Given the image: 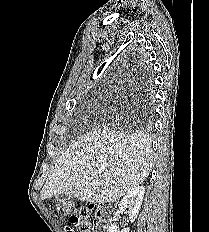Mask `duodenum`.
Returning <instances> with one entry per match:
<instances>
[{"instance_id":"duodenum-1","label":"duodenum","mask_w":209,"mask_h":232,"mask_svg":"<svg viewBox=\"0 0 209 232\" xmlns=\"http://www.w3.org/2000/svg\"><path fill=\"white\" fill-rule=\"evenodd\" d=\"M108 228V222L105 217L104 208L101 206L97 211V221L95 223V231L106 232Z\"/></svg>"}]
</instances>
